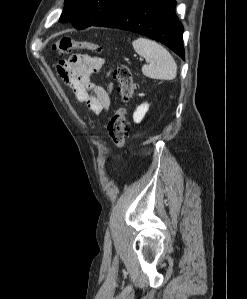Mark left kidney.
<instances>
[{"label":"left kidney","instance_id":"left-kidney-1","mask_svg":"<svg viewBox=\"0 0 247 299\" xmlns=\"http://www.w3.org/2000/svg\"><path fill=\"white\" fill-rule=\"evenodd\" d=\"M149 109V104L144 103L137 107L133 114V120L135 123H140L142 119L144 118L146 112Z\"/></svg>","mask_w":247,"mask_h":299}]
</instances>
